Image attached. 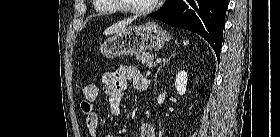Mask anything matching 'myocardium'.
<instances>
[{
	"label": "myocardium",
	"instance_id": "obj_1",
	"mask_svg": "<svg viewBox=\"0 0 280 137\" xmlns=\"http://www.w3.org/2000/svg\"><path fill=\"white\" fill-rule=\"evenodd\" d=\"M160 3H161V0H155L150 6L144 7V8H131V7H126V6H122V5H120L119 8L121 9V11L130 13V14H149L152 11H154L159 6Z\"/></svg>",
	"mask_w": 280,
	"mask_h": 137
}]
</instances>
